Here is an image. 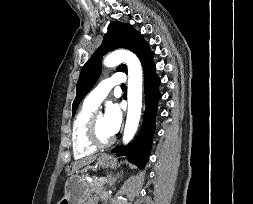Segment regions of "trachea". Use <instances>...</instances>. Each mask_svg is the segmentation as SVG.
<instances>
[{
    "mask_svg": "<svg viewBox=\"0 0 253 204\" xmlns=\"http://www.w3.org/2000/svg\"><path fill=\"white\" fill-rule=\"evenodd\" d=\"M121 87L124 88V87H126V85H125V84H122Z\"/></svg>",
    "mask_w": 253,
    "mask_h": 204,
    "instance_id": "3493384b",
    "label": "trachea"
}]
</instances>
